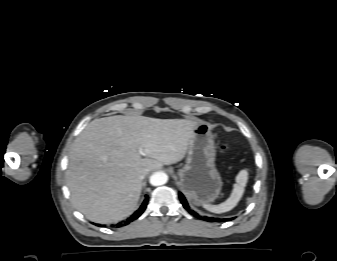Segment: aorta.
Returning <instances> with one entry per match:
<instances>
[{
    "mask_svg": "<svg viewBox=\"0 0 337 261\" xmlns=\"http://www.w3.org/2000/svg\"><path fill=\"white\" fill-rule=\"evenodd\" d=\"M150 184L153 186H160L168 181V176L165 172L158 171L150 176Z\"/></svg>",
    "mask_w": 337,
    "mask_h": 261,
    "instance_id": "762f6f07",
    "label": "aorta"
}]
</instances>
